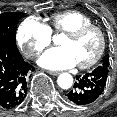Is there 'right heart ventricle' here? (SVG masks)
<instances>
[{
    "instance_id": "1",
    "label": "right heart ventricle",
    "mask_w": 117,
    "mask_h": 117,
    "mask_svg": "<svg viewBox=\"0 0 117 117\" xmlns=\"http://www.w3.org/2000/svg\"><path fill=\"white\" fill-rule=\"evenodd\" d=\"M50 21L49 29L56 33H66L80 26L92 24L89 16L75 10L54 13L51 15Z\"/></svg>"
}]
</instances>
